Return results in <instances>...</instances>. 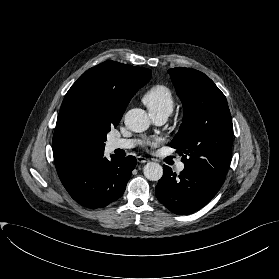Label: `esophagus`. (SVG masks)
Returning a JSON list of instances; mask_svg holds the SVG:
<instances>
[{"label":"esophagus","instance_id":"esophagus-1","mask_svg":"<svg viewBox=\"0 0 279 279\" xmlns=\"http://www.w3.org/2000/svg\"><path fill=\"white\" fill-rule=\"evenodd\" d=\"M137 161H138L139 163H146V162H148L149 160H148L147 158L143 157V156H138V157H137Z\"/></svg>","mask_w":279,"mask_h":279}]
</instances>
